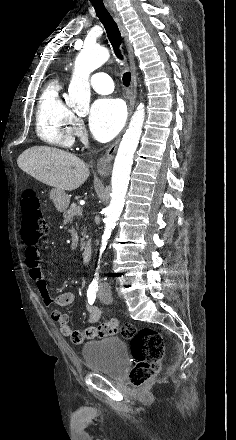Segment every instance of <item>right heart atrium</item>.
Here are the masks:
<instances>
[{"instance_id": "1", "label": "right heart atrium", "mask_w": 236, "mask_h": 440, "mask_svg": "<svg viewBox=\"0 0 236 440\" xmlns=\"http://www.w3.org/2000/svg\"><path fill=\"white\" fill-rule=\"evenodd\" d=\"M74 130H75V135L78 136L79 138H82L85 135L84 124L80 118H75Z\"/></svg>"}]
</instances>
